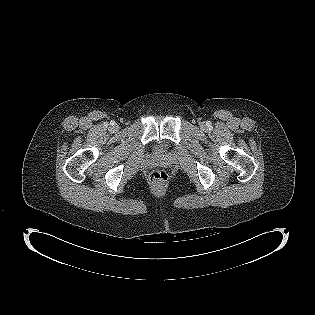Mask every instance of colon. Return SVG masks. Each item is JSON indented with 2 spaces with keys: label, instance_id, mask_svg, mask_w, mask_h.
I'll return each instance as SVG.
<instances>
[{
  "label": "colon",
  "instance_id": "colon-1",
  "mask_svg": "<svg viewBox=\"0 0 315 315\" xmlns=\"http://www.w3.org/2000/svg\"><path fill=\"white\" fill-rule=\"evenodd\" d=\"M149 180L155 186H163L169 180V174L163 169H157L151 172Z\"/></svg>",
  "mask_w": 315,
  "mask_h": 315
}]
</instances>
